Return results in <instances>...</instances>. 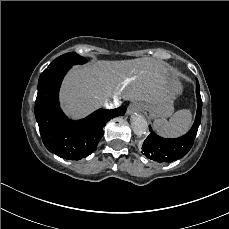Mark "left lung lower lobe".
I'll use <instances>...</instances> for the list:
<instances>
[{
	"instance_id": "obj_1",
	"label": "left lung lower lobe",
	"mask_w": 229,
	"mask_h": 229,
	"mask_svg": "<svg viewBox=\"0 0 229 229\" xmlns=\"http://www.w3.org/2000/svg\"><path fill=\"white\" fill-rule=\"evenodd\" d=\"M196 95H197V113L195 117V122L191 129L183 136L174 139H166L158 136L152 132L144 141L142 150L144 154L151 160L157 161L159 163H171L175 160L182 158L191 149L196 137L198 127L201 122V110H202V100L200 96L199 82H196Z\"/></svg>"
}]
</instances>
